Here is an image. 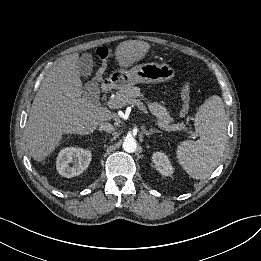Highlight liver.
<instances>
[{"instance_id": "liver-1", "label": "liver", "mask_w": 261, "mask_h": 261, "mask_svg": "<svg viewBox=\"0 0 261 261\" xmlns=\"http://www.w3.org/2000/svg\"><path fill=\"white\" fill-rule=\"evenodd\" d=\"M150 47L144 41L120 43L115 50L118 69L126 70L144 58ZM78 64L77 53L61 60L46 74L33 100L25 134L29 153L36 161L49 156L63 134H90L112 118L110 110L82 97Z\"/></svg>"}]
</instances>
